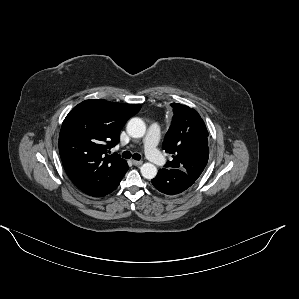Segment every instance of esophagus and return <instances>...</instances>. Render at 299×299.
<instances>
[{"mask_svg":"<svg viewBox=\"0 0 299 299\" xmlns=\"http://www.w3.org/2000/svg\"><path fill=\"white\" fill-rule=\"evenodd\" d=\"M133 165L135 166H140L142 165L143 161H138V160H132Z\"/></svg>","mask_w":299,"mask_h":299,"instance_id":"1","label":"esophagus"}]
</instances>
